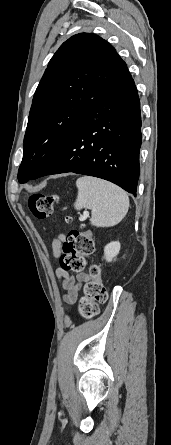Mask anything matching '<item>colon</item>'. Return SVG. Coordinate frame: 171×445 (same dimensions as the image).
<instances>
[{
  "label": "colon",
  "mask_w": 171,
  "mask_h": 445,
  "mask_svg": "<svg viewBox=\"0 0 171 445\" xmlns=\"http://www.w3.org/2000/svg\"><path fill=\"white\" fill-rule=\"evenodd\" d=\"M57 200L55 195L35 193L27 198V205L31 213L38 219H46L54 213ZM67 222H70L68 217ZM95 244L89 230H72L68 233L63 244V254L60 266L66 271H80L85 266V257L92 255ZM108 294L102 283L101 269L98 265L90 268V279L83 286V295L79 301V312L90 318L99 312L98 304L106 302Z\"/></svg>",
  "instance_id": "obj_1"
}]
</instances>
